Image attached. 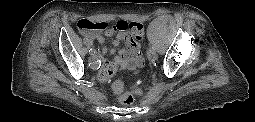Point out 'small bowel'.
<instances>
[{
    "mask_svg": "<svg viewBox=\"0 0 255 122\" xmlns=\"http://www.w3.org/2000/svg\"><path fill=\"white\" fill-rule=\"evenodd\" d=\"M114 33L115 30H107L104 33L94 32L85 35L89 39H95L99 44H104L105 38L112 36ZM124 39H126L128 50L121 49L113 61L106 62L104 66L109 64L115 66L116 68L135 70L143 65L142 47L140 42L133 37H127L124 31H119L117 33L116 39L113 41L114 48L111 50V52L114 53L115 47L119 46L120 42ZM106 52L107 49L104 48L103 53L105 54Z\"/></svg>",
    "mask_w": 255,
    "mask_h": 122,
    "instance_id": "c3829d8e",
    "label": "small bowel"
}]
</instances>
